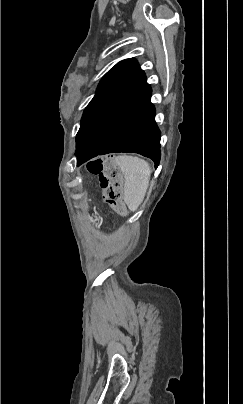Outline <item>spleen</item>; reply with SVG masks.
Returning <instances> with one entry per match:
<instances>
[{"label":"spleen","mask_w":243,"mask_h":404,"mask_svg":"<svg viewBox=\"0 0 243 404\" xmlns=\"http://www.w3.org/2000/svg\"><path fill=\"white\" fill-rule=\"evenodd\" d=\"M116 164L124 174V202L130 212H136L142 204L149 186L151 168L137 156H117Z\"/></svg>","instance_id":"spleen-1"}]
</instances>
